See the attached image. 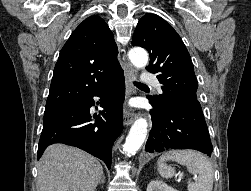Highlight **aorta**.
Here are the masks:
<instances>
[{"instance_id":"762f6f07","label":"aorta","mask_w":251,"mask_h":191,"mask_svg":"<svg viewBox=\"0 0 251 191\" xmlns=\"http://www.w3.org/2000/svg\"><path fill=\"white\" fill-rule=\"evenodd\" d=\"M128 58L135 68H144L148 64V54L143 48H132L128 52ZM148 123L144 117H139L134 121L123 145L127 155H134L140 149L146 139Z\"/></svg>"}]
</instances>
